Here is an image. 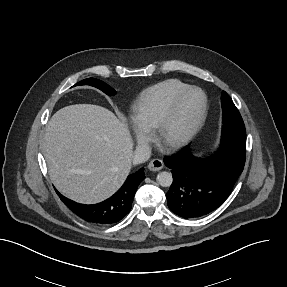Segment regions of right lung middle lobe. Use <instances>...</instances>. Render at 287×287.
<instances>
[{
	"instance_id": "dd1d6c3e",
	"label": "right lung middle lobe",
	"mask_w": 287,
	"mask_h": 287,
	"mask_svg": "<svg viewBox=\"0 0 287 287\" xmlns=\"http://www.w3.org/2000/svg\"><path fill=\"white\" fill-rule=\"evenodd\" d=\"M85 84L94 86L109 96H113L116 94V91L112 87H110L106 83H104L98 79H95V78H88V79L82 80L81 82L77 83L76 85H85Z\"/></svg>"
}]
</instances>
